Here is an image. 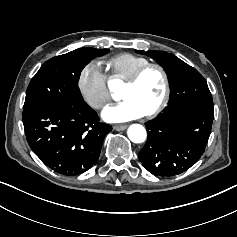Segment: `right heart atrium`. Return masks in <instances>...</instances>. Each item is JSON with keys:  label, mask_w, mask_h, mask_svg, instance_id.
I'll return each mask as SVG.
<instances>
[{"label": "right heart atrium", "mask_w": 237, "mask_h": 237, "mask_svg": "<svg viewBox=\"0 0 237 237\" xmlns=\"http://www.w3.org/2000/svg\"><path fill=\"white\" fill-rule=\"evenodd\" d=\"M78 87L85 102L94 109L103 108L111 100L107 75L95 61L81 69Z\"/></svg>", "instance_id": "right-heart-atrium-1"}]
</instances>
